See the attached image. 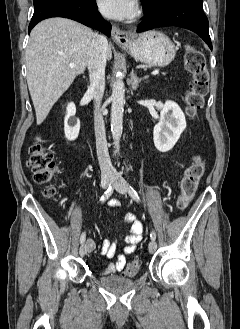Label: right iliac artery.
Listing matches in <instances>:
<instances>
[{"mask_svg": "<svg viewBox=\"0 0 240 329\" xmlns=\"http://www.w3.org/2000/svg\"><path fill=\"white\" fill-rule=\"evenodd\" d=\"M113 193V187L109 186V188L105 191V193L103 194V196L101 197L100 201L104 202L106 201ZM86 239V234L82 233L81 237H80V243H83Z\"/></svg>", "mask_w": 240, "mask_h": 329, "instance_id": "82829eb1", "label": "right iliac artery"}]
</instances>
